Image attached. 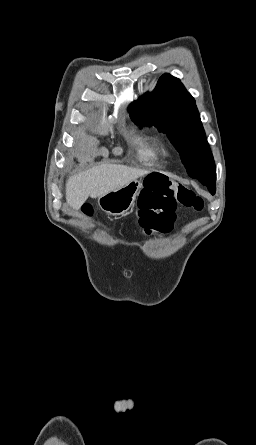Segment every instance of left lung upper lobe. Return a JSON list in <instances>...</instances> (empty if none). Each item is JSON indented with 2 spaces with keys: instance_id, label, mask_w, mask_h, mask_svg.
I'll list each match as a JSON object with an SVG mask.
<instances>
[{
  "instance_id": "5c2ea615",
  "label": "left lung upper lobe",
  "mask_w": 256,
  "mask_h": 445,
  "mask_svg": "<svg viewBox=\"0 0 256 445\" xmlns=\"http://www.w3.org/2000/svg\"><path fill=\"white\" fill-rule=\"evenodd\" d=\"M130 113L140 126H155L167 134L190 177L216 180L213 155L195 100L178 78L162 75L153 92L132 103Z\"/></svg>"
}]
</instances>
